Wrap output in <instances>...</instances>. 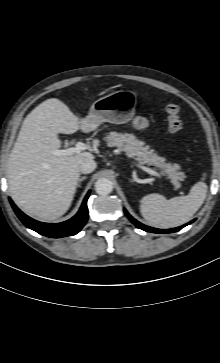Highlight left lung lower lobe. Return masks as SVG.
Listing matches in <instances>:
<instances>
[{
    "mask_svg": "<svg viewBox=\"0 0 220 363\" xmlns=\"http://www.w3.org/2000/svg\"><path fill=\"white\" fill-rule=\"evenodd\" d=\"M125 214L127 215V217L131 220V222L139 229H142L144 231H147V232H153V233H172V232H176V231H179L180 229H182L183 227H185L186 225L192 223L193 221L183 225V226H180V227H177V228H173V229H167V230H161V229H156V228H152V227H149V226H146V225H143L142 223L138 222L137 220H135L132 216H130L128 214V212L126 210H124Z\"/></svg>",
    "mask_w": 220,
    "mask_h": 363,
    "instance_id": "obj_1",
    "label": "left lung lower lobe"
}]
</instances>
